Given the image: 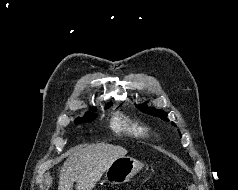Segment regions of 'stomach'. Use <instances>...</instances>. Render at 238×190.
I'll list each match as a JSON object with an SVG mask.
<instances>
[{"instance_id": "0dacf381", "label": "stomach", "mask_w": 238, "mask_h": 190, "mask_svg": "<svg viewBox=\"0 0 238 190\" xmlns=\"http://www.w3.org/2000/svg\"><path fill=\"white\" fill-rule=\"evenodd\" d=\"M143 167L138 160L124 156L115 160L106 170L105 178L111 184L128 182Z\"/></svg>"}]
</instances>
